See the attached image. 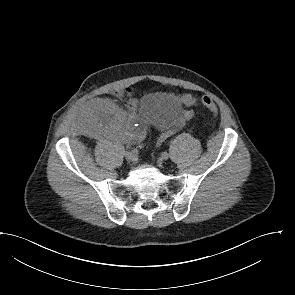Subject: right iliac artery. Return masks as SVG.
Listing matches in <instances>:
<instances>
[{
  "mask_svg": "<svg viewBox=\"0 0 295 295\" xmlns=\"http://www.w3.org/2000/svg\"><path fill=\"white\" fill-rule=\"evenodd\" d=\"M131 153H133L134 155H136L137 151L134 149L131 151Z\"/></svg>",
  "mask_w": 295,
  "mask_h": 295,
  "instance_id": "1",
  "label": "right iliac artery"
}]
</instances>
